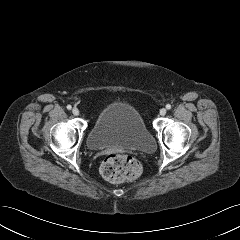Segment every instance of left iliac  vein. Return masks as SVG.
I'll return each instance as SVG.
<instances>
[{"label":"left iliac vein","instance_id":"1","mask_svg":"<svg viewBox=\"0 0 240 240\" xmlns=\"http://www.w3.org/2000/svg\"><path fill=\"white\" fill-rule=\"evenodd\" d=\"M167 110L165 108L160 109V115L164 116Z\"/></svg>","mask_w":240,"mask_h":240}]
</instances>
